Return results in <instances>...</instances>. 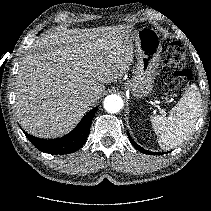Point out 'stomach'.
<instances>
[{"label": "stomach", "mask_w": 211, "mask_h": 211, "mask_svg": "<svg viewBox=\"0 0 211 211\" xmlns=\"http://www.w3.org/2000/svg\"><path fill=\"white\" fill-rule=\"evenodd\" d=\"M131 36L137 52V68L124 88L141 99L152 92L162 46L158 34L151 28L131 30Z\"/></svg>", "instance_id": "stomach-1"}]
</instances>
